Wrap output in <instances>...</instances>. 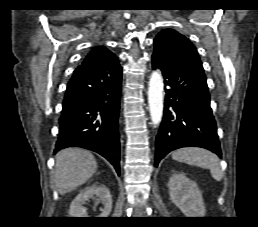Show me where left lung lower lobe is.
Masks as SVG:
<instances>
[{"mask_svg":"<svg viewBox=\"0 0 258 227\" xmlns=\"http://www.w3.org/2000/svg\"><path fill=\"white\" fill-rule=\"evenodd\" d=\"M152 67L162 71L167 87L156 137L155 165L170 151L188 146L202 147L221 156L204 73L157 48L152 54Z\"/></svg>","mask_w":258,"mask_h":227,"instance_id":"1","label":"left lung lower lobe"}]
</instances>
